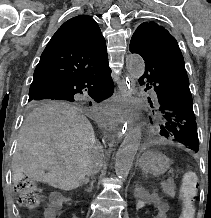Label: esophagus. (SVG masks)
I'll return each instance as SVG.
<instances>
[{
	"instance_id": "34e87169",
	"label": "esophagus",
	"mask_w": 211,
	"mask_h": 218,
	"mask_svg": "<svg viewBox=\"0 0 211 218\" xmlns=\"http://www.w3.org/2000/svg\"><path fill=\"white\" fill-rule=\"evenodd\" d=\"M123 77H125L124 83L120 84L118 86V98L112 99V114L114 117H118L123 115L124 117L128 114V109H124L123 104L128 101L132 97L133 90L132 88L135 85V82L132 80L131 76H128V72H123ZM118 123V132H114V137H117L118 140L121 139V137L124 135L120 131H126L127 128L131 127V124L129 123L131 120L128 119H121L119 118L117 120ZM122 122V123H121ZM125 122V123H123ZM128 122V123H126Z\"/></svg>"
}]
</instances>
